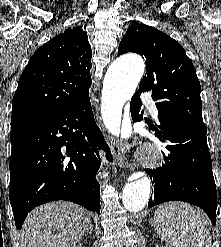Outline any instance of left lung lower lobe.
Here are the masks:
<instances>
[{"mask_svg": "<svg viewBox=\"0 0 221 247\" xmlns=\"http://www.w3.org/2000/svg\"><path fill=\"white\" fill-rule=\"evenodd\" d=\"M134 122L143 120L141 99L135 93L130 102ZM161 125L150 126L169 153L165 164L147 169L154 186L148 207L167 201H184L201 207L216 224L217 192L212 173V162L206 141L205 125H190L175 120H159Z\"/></svg>", "mask_w": 221, "mask_h": 247, "instance_id": "1", "label": "left lung lower lobe"}]
</instances>
